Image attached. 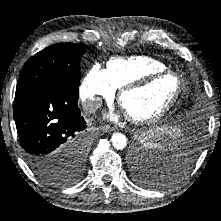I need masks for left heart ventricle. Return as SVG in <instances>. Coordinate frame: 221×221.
Wrapping results in <instances>:
<instances>
[{
  "label": "left heart ventricle",
  "mask_w": 221,
  "mask_h": 221,
  "mask_svg": "<svg viewBox=\"0 0 221 221\" xmlns=\"http://www.w3.org/2000/svg\"><path fill=\"white\" fill-rule=\"evenodd\" d=\"M177 82L173 76L155 79L149 85L126 93L121 102L125 114L148 117L162 109L173 97Z\"/></svg>",
  "instance_id": "b2bd125f"
}]
</instances>
